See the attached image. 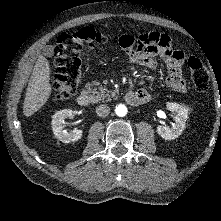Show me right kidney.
Instances as JSON below:
<instances>
[{
  "label": "right kidney",
  "instance_id": "right-kidney-1",
  "mask_svg": "<svg viewBox=\"0 0 221 221\" xmlns=\"http://www.w3.org/2000/svg\"><path fill=\"white\" fill-rule=\"evenodd\" d=\"M73 115V111L70 109H64L56 112L52 119V129L55 137L64 143H69L81 139L83 131L80 129H74L67 132L63 130V122L65 118H70Z\"/></svg>",
  "mask_w": 221,
  "mask_h": 221
}]
</instances>
